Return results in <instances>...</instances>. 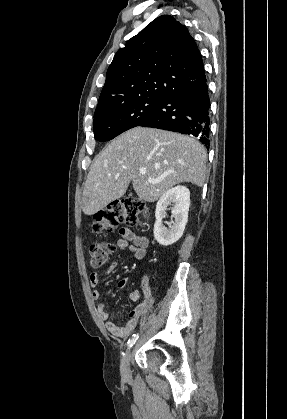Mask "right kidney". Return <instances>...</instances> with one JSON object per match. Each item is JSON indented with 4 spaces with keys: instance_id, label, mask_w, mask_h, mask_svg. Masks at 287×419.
Segmentation results:
<instances>
[{
    "instance_id": "obj_1",
    "label": "right kidney",
    "mask_w": 287,
    "mask_h": 419,
    "mask_svg": "<svg viewBox=\"0 0 287 419\" xmlns=\"http://www.w3.org/2000/svg\"><path fill=\"white\" fill-rule=\"evenodd\" d=\"M172 204L171 213L174 222L169 224V229L163 225L166 218L167 207ZM190 207V191L185 186H176L165 192L156 205L154 224V238L162 246H169L178 241L184 232L188 221Z\"/></svg>"
}]
</instances>
